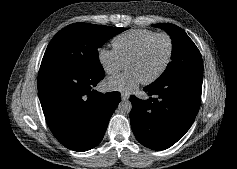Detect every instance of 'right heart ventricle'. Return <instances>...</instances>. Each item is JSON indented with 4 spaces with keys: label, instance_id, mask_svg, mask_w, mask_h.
Instances as JSON below:
<instances>
[{
    "label": "right heart ventricle",
    "instance_id": "obj_1",
    "mask_svg": "<svg viewBox=\"0 0 237 169\" xmlns=\"http://www.w3.org/2000/svg\"><path fill=\"white\" fill-rule=\"evenodd\" d=\"M154 34H156L155 31L147 29L125 31L113 38V49L120 58L126 62L129 56L133 54L148 37Z\"/></svg>",
    "mask_w": 237,
    "mask_h": 169
}]
</instances>
